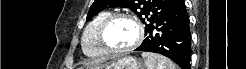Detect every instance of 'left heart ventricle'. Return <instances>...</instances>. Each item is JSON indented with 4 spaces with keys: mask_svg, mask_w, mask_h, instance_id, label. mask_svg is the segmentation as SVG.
<instances>
[{
    "mask_svg": "<svg viewBox=\"0 0 246 69\" xmlns=\"http://www.w3.org/2000/svg\"><path fill=\"white\" fill-rule=\"evenodd\" d=\"M137 37L134 24L127 19L115 20L107 29L105 34L106 42L116 49H123L130 46Z\"/></svg>",
    "mask_w": 246,
    "mask_h": 69,
    "instance_id": "left-heart-ventricle-1",
    "label": "left heart ventricle"
}]
</instances>
